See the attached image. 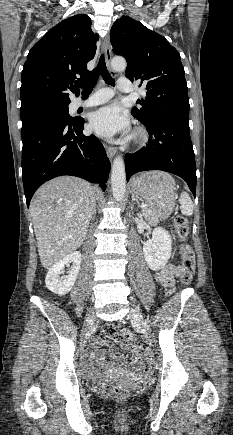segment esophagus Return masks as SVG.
<instances>
[{"mask_svg": "<svg viewBox=\"0 0 233 435\" xmlns=\"http://www.w3.org/2000/svg\"><path fill=\"white\" fill-rule=\"evenodd\" d=\"M102 51H103V53L105 55L106 63L109 66L110 71L115 76L116 75L115 72L110 67V63H111V59H112V49H111V44H110V35H109V33L106 35L105 40L103 42ZM106 153H107L108 158L110 160H112L114 155H115V149L113 147L106 146Z\"/></svg>", "mask_w": 233, "mask_h": 435, "instance_id": "34e87169", "label": "esophagus"}]
</instances>
